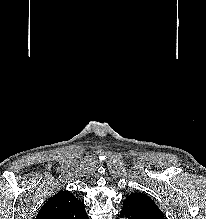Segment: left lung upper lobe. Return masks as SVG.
<instances>
[{
    "label": "left lung upper lobe",
    "instance_id": "5c2ea615",
    "mask_svg": "<svg viewBox=\"0 0 206 219\" xmlns=\"http://www.w3.org/2000/svg\"><path fill=\"white\" fill-rule=\"evenodd\" d=\"M127 208L145 219H165L162 211L153 200L143 193H132L123 202V209Z\"/></svg>",
    "mask_w": 206,
    "mask_h": 219
}]
</instances>
